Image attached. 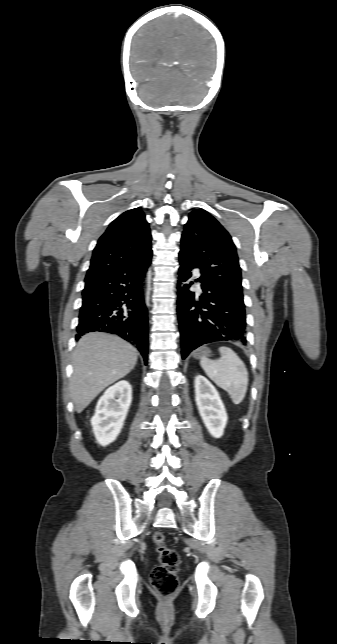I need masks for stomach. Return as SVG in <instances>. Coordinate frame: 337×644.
Returning a JSON list of instances; mask_svg holds the SVG:
<instances>
[{
    "label": "stomach",
    "mask_w": 337,
    "mask_h": 644,
    "mask_svg": "<svg viewBox=\"0 0 337 644\" xmlns=\"http://www.w3.org/2000/svg\"><path fill=\"white\" fill-rule=\"evenodd\" d=\"M209 353H210V350H208V349H202V350L197 351V352L194 354V357H195V358H197V359H198V358H202L203 356H208V355H209Z\"/></svg>",
    "instance_id": "1"
}]
</instances>
